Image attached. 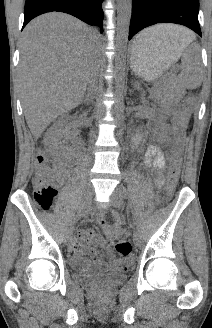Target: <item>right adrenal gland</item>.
Here are the masks:
<instances>
[{"mask_svg":"<svg viewBox=\"0 0 212 328\" xmlns=\"http://www.w3.org/2000/svg\"><path fill=\"white\" fill-rule=\"evenodd\" d=\"M88 96L86 95L85 99L83 100L84 103H88Z\"/></svg>","mask_w":212,"mask_h":328,"instance_id":"2a0ac1e0","label":"right adrenal gland"}]
</instances>
